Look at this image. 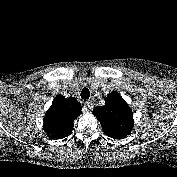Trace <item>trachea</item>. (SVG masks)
<instances>
[{"instance_id":"1","label":"trachea","mask_w":177,"mask_h":177,"mask_svg":"<svg viewBox=\"0 0 177 177\" xmlns=\"http://www.w3.org/2000/svg\"><path fill=\"white\" fill-rule=\"evenodd\" d=\"M81 98L82 99H89L90 97V92H89V89L84 87L81 91V94H80Z\"/></svg>"}]
</instances>
